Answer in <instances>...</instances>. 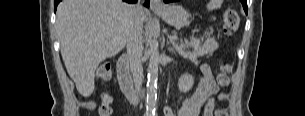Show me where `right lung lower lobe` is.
Instances as JSON below:
<instances>
[{
	"label": "right lung lower lobe",
	"instance_id": "obj_1",
	"mask_svg": "<svg viewBox=\"0 0 305 116\" xmlns=\"http://www.w3.org/2000/svg\"><path fill=\"white\" fill-rule=\"evenodd\" d=\"M60 1H61V0H55V1H54L55 10H56L57 5L59 4ZM124 1H125V2H128V3H134V2H136V0H124ZM149 1H150V0H146V3H145L144 5L147 6V7H149Z\"/></svg>",
	"mask_w": 305,
	"mask_h": 116
}]
</instances>
